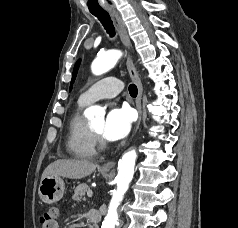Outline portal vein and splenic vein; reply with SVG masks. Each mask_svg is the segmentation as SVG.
<instances>
[{"mask_svg": "<svg viewBox=\"0 0 238 228\" xmlns=\"http://www.w3.org/2000/svg\"><path fill=\"white\" fill-rule=\"evenodd\" d=\"M87 195H88L89 198H91V197H92V191H89V192L87 193Z\"/></svg>", "mask_w": 238, "mask_h": 228, "instance_id": "portal-vein-and-splenic-vein-1", "label": "portal vein and splenic vein"}]
</instances>
